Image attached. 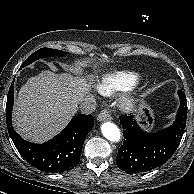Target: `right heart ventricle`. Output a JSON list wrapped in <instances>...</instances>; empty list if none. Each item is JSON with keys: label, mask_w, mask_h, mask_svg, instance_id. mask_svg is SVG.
<instances>
[{"label": "right heart ventricle", "mask_w": 194, "mask_h": 194, "mask_svg": "<svg viewBox=\"0 0 194 194\" xmlns=\"http://www.w3.org/2000/svg\"><path fill=\"white\" fill-rule=\"evenodd\" d=\"M141 79V74L131 70L114 71L102 76L98 83V91L104 96L124 91L135 86Z\"/></svg>", "instance_id": "e07e8e85"}]
</instances>
